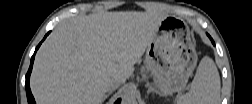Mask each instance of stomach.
<instances>
[{
	"instance_id": "0dacf381",
	"label": "stomach",
	"mask_w": 252,
	"mask_h": 104,
	"mask_svg": "<svg viewBox=\"0 0 252 104\" xmlns=\"http://www.w3.org/2000/svg\"><path fill=\"white\" fill-rule=\"evenodd\" d=\"M197 53L188 26L180 19L165 17L147 47L145 68L160 92H181L197 64Z\"/></svg>"
}]
</instances>
